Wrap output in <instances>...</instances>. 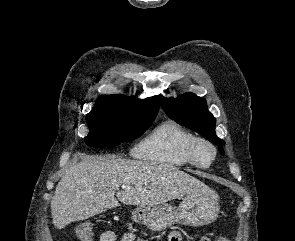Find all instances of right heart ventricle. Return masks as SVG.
Segmentation results:
<instances>
[{"mask_svg":"<svg viewBox=\"0 0 295 241\" xmlns=\"http://www.w3.org/2000/svg\"><path fill=\"white\" fill-rule=\"evenodd\" d=\"M195 135L174 121L156 126L137 146L136 155L143 160L168 166L184 167L191 164L188 147Z\"/></svg>","mask_w":295,"mask_h":241,"instance_id":"obj_1","label":"right heart ventricle"}]
</instances>
